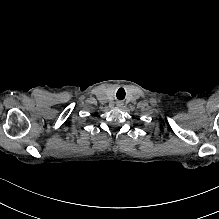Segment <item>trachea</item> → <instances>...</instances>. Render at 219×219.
<instances>
[{
	"mask_svg": "<svg viewBox=\"0 0 219 219\" xmlns=\"http://www.w3.org/2000/svg\"><path fill=\"white\" fill-rule=\"evenodd\" d=\"M116 96H117V99H119V100L124 99V97H125V91H124V89H122V88L119 89Z\"/></svg>",
	"mask_w": 219,
	"mask_h": 219,
	"instance_id": "3493384b",
	"label": "trachea"
}]
</instances>
